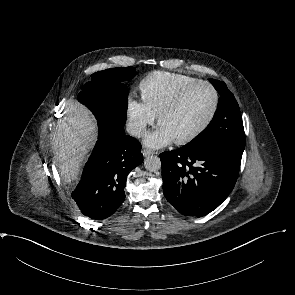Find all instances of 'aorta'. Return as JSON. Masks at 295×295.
I'll list each match as a JSON object with an SVG mask.
<instances>
[{
    "label": "aorta",
    "mask_w": 295,
    "mask_h": 295,
    "mask_svg": "<svg viewBox=\"0 0 295 295\" xmlns=\"http://www.w3.org/2000/svg\"><path fill=\"white\" fill-rule=\"evenodd\" d=\"M144 166L149 172L158 171L161 168V160L158 156H148L144 160Z\"/></svg>",
    "instance_id": "1"
}]
</instances>
